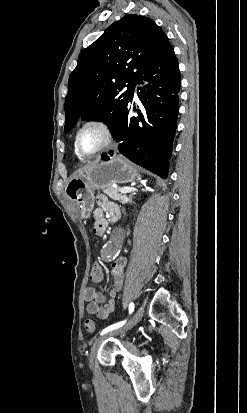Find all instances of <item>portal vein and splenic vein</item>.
<instances>
[{"label":"portal vein and splenic vein","mask_w":247,"mask_h":413,"mask_svg":"<svg viewBox=\"0 0 247 413\" xmlns=\"http://www.w3.org/2000/svg\"><path fill=\"white\" fill-rule=\"evenodd\" d=\"M143 184H145V180H142ZM131 190H136V188H127V186H123V188H119V192H131Z\"/></svg>","instance_id":"18ae733b"}]
</instances>
